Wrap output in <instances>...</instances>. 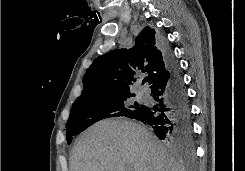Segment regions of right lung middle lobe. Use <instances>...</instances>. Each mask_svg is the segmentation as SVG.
Returning <instances> with one entry per match:
<instances>
[{"instance_id":"right-lung-middle-lobe-1","label":"right lung middle lobe","mask_w":245,"mask_h":171,"mask_svg":"<svg viewBox=\"0 0 245 171\" xmlns=\"http://www.w3.org/2000/svg\"><path fill=\"white\" fill-rule=\"evenodd\" d=\"M131 96L135 95L119 94L97 100L75 101L67 121V143L70 144L75 135L102 119L135 116L141 110L142 105L130 102Z\"/></svg>"}]
</instances>
